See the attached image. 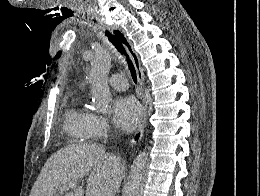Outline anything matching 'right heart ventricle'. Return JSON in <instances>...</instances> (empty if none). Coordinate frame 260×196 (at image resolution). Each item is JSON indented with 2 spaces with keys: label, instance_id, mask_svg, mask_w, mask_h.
Returning a JSON list of instances; mask_svg holds the SVG:
<instances>
[{
  "label": "right heart ventricle",
  "instance_id": "e07e8e85",
  "mask_svg": "<svg viewBox=\"0 0 260 196\" xmlns=\"http://www.w3.org/2000/svg\"><path fill=\"white\" fill-rule=\"evenodd\" d=\"M92 113L85 106L82 98H77L72 108L65 114L66 125L75 130L90 129ZM78 143H93L90 138H82ZM50 192H58V190H50Z\"/></svg>",
  "mask_w": 260,
  "mask_h": 196
}]
</instances>
